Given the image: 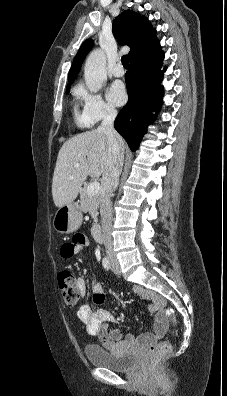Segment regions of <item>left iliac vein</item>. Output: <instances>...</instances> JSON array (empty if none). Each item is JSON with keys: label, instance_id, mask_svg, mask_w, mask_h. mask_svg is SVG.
<instances>
[{"label": "left iliac vein", "instance_id": "4c4485c4", "mask_svg": "<svg viewBox=\"0 0 227 396\" xmlns=\"http://www.w3.org/2000/svg\"><path fill=\"white\" fill-rule=\"evenodd\" d=\"M111 266L115 274L119 275L121 273L119 263L115 259L111 260Z\"/></svg>", "mask_w": 227, "mask_h": 396}]
</instances>
